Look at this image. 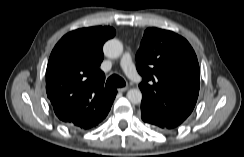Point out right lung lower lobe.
<instances>
[{"label": "right lung lower lobe", "mask_w": 244, "mask_h": 157, "mask_svg": "<svg viewBox=\"0 0 244 157\" xmlns=\"http://www.w3.org/2000/svg\"><path fill=\"white\" fill-rule=\"evenodd\" d=\"M108 112H109V111H108ZM108 112H106V113L103 115L101 121L107 116ZM101 121H100V122H101ZM100 122H99V123H100ZM70 127H71V126H70Z\"/></svg>", "instance_id": "98d812e1"}]
</instances>
